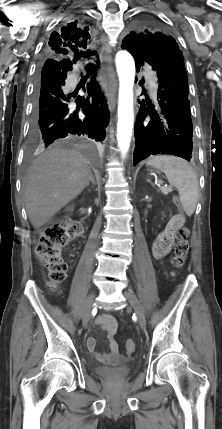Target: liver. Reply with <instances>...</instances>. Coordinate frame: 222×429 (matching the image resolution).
<instances>
[{"mask_svg": "<svg viewBox=\"0 0 222 429\" xmlns=\"http://www.w3.org/2000/svg\"><path fill=\"white\" fill-rule=\"evenodd\" d=\"M87 158L76 150L52 147L31 164L23 183L26 211L34 228L45 225L89 181Z\"/></svg>", "mask_w": 222, "mask_h": 429, "instance_id": "6515ba94", "label": "liver"}]
</instances>
